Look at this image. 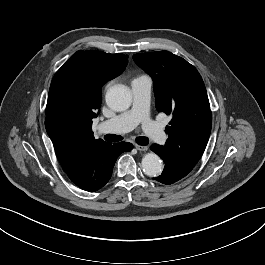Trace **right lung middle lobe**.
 <instances>
[{
  "mask_svg": "<svg viewBox=\"0 0 265 265\" xmlns=\"http://www.w3.org/2000/svg\"><path fill=\"white\" fill-rule=\"evenodd\" d=\"M81 98L82 92L73 85L70 73L59 69L50 86L48 109L67 113Z\"/></svg>",
  "mask_w": 265,
  "mask_h": 265,
  "instance_id": "right-lung-middle-lobe-1",
  "label": "right lung middle lobe"
}]
</instances>
